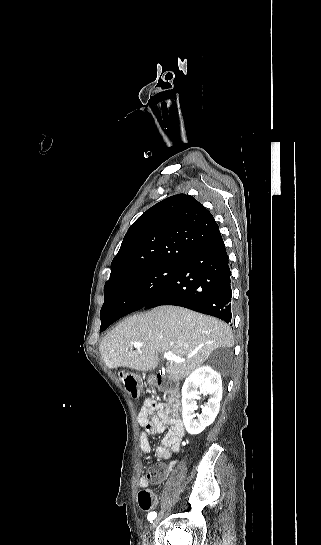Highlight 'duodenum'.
<instances>
[{
  "mask_svg": "<svg viewBox=\"0 0 321 545\" xmlns=\"http://www.w3.org/2000/svg\"><path fill=\"white\" fill-rule=\"evenodd\" d=\"M152 384L161 392L168 401L176 400L178 397V390L176 385L167 377L157 374L151 378Z\"/></svg>",
  "mask_w": 321,
  "mask_h": 545,
  "instance_id": "1",
  "label": "duodenum"
}]
</instances>
